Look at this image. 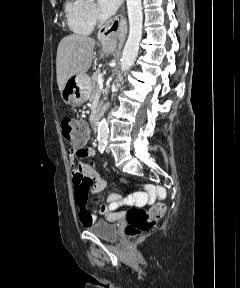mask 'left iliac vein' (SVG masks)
<instances>
[{
  "instance_id": "4c4485c4",
  "label": "left iliac vein",
  "mask_w": 240,
  "mask_h": 288,
  "mask_svg": "<svg viewBox=\"0 0 240 288\" xmlns=\"http://www.w3.org/2000/svg\"><path fill=\"white\" fill-rule=\"evenodd\" d=\"M106 153H110V148L108 145L106 146Z\"/></svg>"
}]
</instances>
